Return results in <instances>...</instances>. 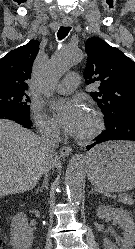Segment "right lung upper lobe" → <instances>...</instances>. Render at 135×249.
I'll use <instances>...</instances> for the list:
<instances>
[{
	"mask_svg": "<svg viewBox=\"0 0 135 249\" xmlns=\"http://www.w3.org/2000/svg\"><path fill=\"white\" fill-rule=\"evenodd\" d=\"M39 51V41L10 51L0 60V91H26L32 63Z\"/></svg>",
	"mask_w": 135,
	"mask_h": 249,
	"instance_id": "1",
	"label": "right lung upper lobe"
}]
</instances>
